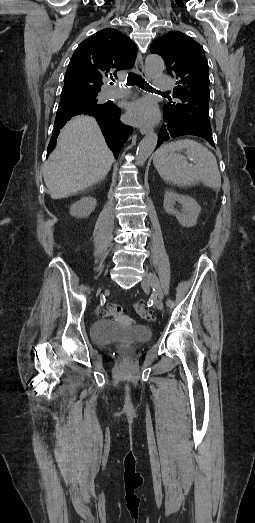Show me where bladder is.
Returning a JSON list of instances; mask_svg holds the SVG:
<instances>
[{
  "label": "bladder",
  "mask_w": 255,
  "mask_h": 523,
  "mask_svg": "<svg viewBox=\"0 0 255 523\" xmlns=\"http://www.w3.org/2000/svg\"><path fill=\"white\" fill-rule=\"evenodd\" d=\"M151 337L152 331L147 326H123L107 319L92 323V338L101 344H108L116 340L141 342L149 340Z\"/></svg>",
  "instance_id": "obj_1"
}]
</instances>
